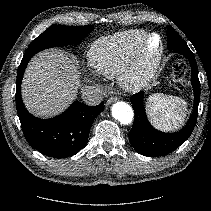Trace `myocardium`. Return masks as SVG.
I'll return each mask as SVG.
<instances>
[{
    "mask_svg": "<svg viewBox=\"0 0 211 211\" xmlns=\"http://www.w3.org/2000/svg\"><path fill=\"white\" fill-rule=\"evenodd\" d=\"M158 39L157 51L149 56L147 45L151 39ZM166 46L163 37L156 32H148L142 38L129 61L119 72V81L128 91H140L148 86L159 74L165 58Z\"/></svg>",
    "mask_w": 211,
    "mask_h": 211,
    "instance_id": "1",
    "label": "myocardium"
}]
</instances>
